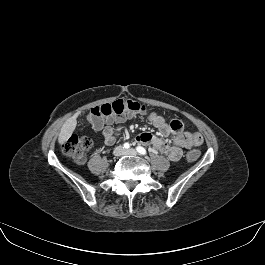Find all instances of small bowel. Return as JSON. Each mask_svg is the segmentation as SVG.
<instances>
[{"label": "small bowel", "mask_w": 265, "mask_h": 265, "mask_svg": "<svg viewBox=\"0 0 265 265\" xmlns=\"http://www.w3.org/2000/svg\"><path fill=\"white\" fill-rule=\"evenodd\" d=\"M128 117L130 115L115 117L96 127L102 131L106 145L110 146L115 143L116 137L122 129V124ZM147 119L162 136H172L173 138L171 141H168L162 137L144 132L138 135L137 141L166 155L171 161L180 160L183 149L199 146L203 142V138L198 132L184 131L183 123L179 119L167 121L155 112L149 113Z\"/></svg>", "instance_id": "obj_1"}]
</instances>
